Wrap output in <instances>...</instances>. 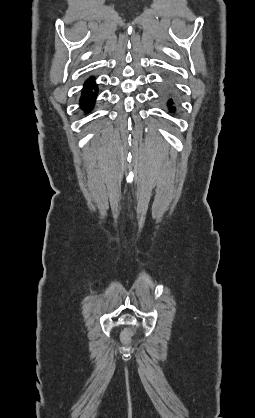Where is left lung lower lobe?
Returning <instances> with one entry per match:
<instances>
[{"label":"left lung lower lobe","mask_w":255,"mask_h":418,"mask_svg":"<svg viewBox=\"0 0 255 418\" xmlns=\"http://www.w3.org/2000/svg\"><path fill=\"white\" fill-rule=\"evenodd\" d=\"M168 106H169V109H170L171 111H174V110H175V107H173V101H172V99H169V101H168Z\"/></svg>","instance_id":"left-lung-lower-lobe-1"}]
</instances>
